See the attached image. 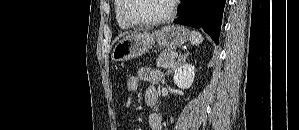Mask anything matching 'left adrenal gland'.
<instances>
[{"instance_id": "obj_1", "label": "left adrenal gland", "mask_w": 299, "mask_h": 130, "mask_svg": "<svg viewBox=\"0 0 299 130\" xmlns=\"http://www.w3.org/2000/svg\"><path fill=\"white\" fill-rule=\"evenodd\" d=\"M188 55H189L188 53H185L184 55L180 54L179 55V59H178V64H180L181 62H185L186 59H187V57H188ZM173 70H168V72L166 73V75H169Z\"/></svg>"}]
</instances>
